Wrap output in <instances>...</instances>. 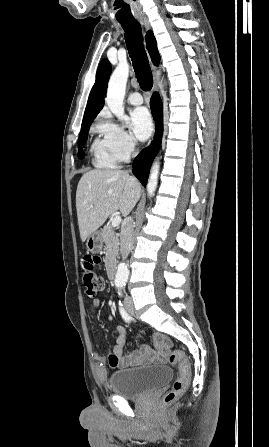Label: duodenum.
I'll return each mask as SVG.
<instances>
[{"label":"duodenum","instance_id":"1","mask_svg":"<svg viewBox=\"0 0 269 447\" xmlns=\"http://www.w3.org/2000/svg\"><path fill=\"white\" fill-rule=\"evenodd\" d=\"M107 276L110 280H114L116 276V266L114 260H110L106 266Z\"/></svg>","mask_w":269,"mask_h":447}]
</instances>
